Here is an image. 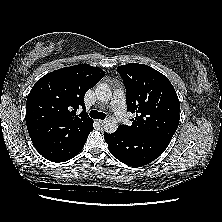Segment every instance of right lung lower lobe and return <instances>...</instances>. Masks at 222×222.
I'll return each instance as SVG.
<instances>
[{
  "label": "right lung lower lobe",
  "mask_w": 222,
  "mask_h": 222,
  "mask_svg": "<svg viewBox=\"0 0 222 222\" xmlns=\"http://www.w3.org/2000/svg\"><path fill=\"white\" fill-rule=\"evenodd\" d=\"M93 130V126L89 132L81 139L67 140L56 145L37 149V151L47 160L52 162H65L75 157L84 147L89 133Z\"/></svg>",
  "instance_id": "right-lung-lower-lobe-1"
}]
</instances>
